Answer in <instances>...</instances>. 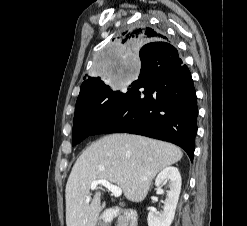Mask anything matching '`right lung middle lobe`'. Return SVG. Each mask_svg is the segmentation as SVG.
<instances>
[{"label":"right lung middle lobe","instance_id":"1","mask_svg":"<svg viewBox=\"0 0 247 226\" xmlns=\"http://www.w3.org/2000/svg\"><path fill=\"white\" fill-rule=\"evenodd\" d=\"M123 92L110 89L105 82L79 97L76 102L73 146L93 134L95 128L122 98Z\"/></svg>","mask_w":247,"mask_h":226}]
</instances>
